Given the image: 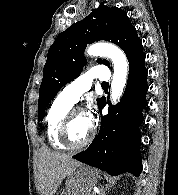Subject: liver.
<instances>
[{
    "label": "liver",
    "instance_id": "liver-1",
    "mask_svg": "<svg viewBox=\"0 0 178 195\" xmlns=\"http://www.w3.org/2000/svg\"><path fill=\"white\" fill-rule=\"evenodd\" d=\"M81 165L69 155L42 148L38 166L41 195H54L63 180Z\"/></svg>",
    "mask_w": 178,
    "mask_h": 195
}]
</instances>
